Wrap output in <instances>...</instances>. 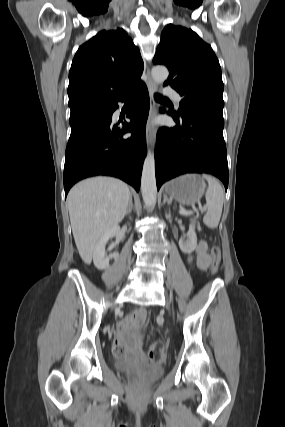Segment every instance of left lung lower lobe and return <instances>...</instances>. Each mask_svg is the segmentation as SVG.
<instances>
[{
	"label": "left lung lower lobe",
	"instance_id": "1",
	"mask_svg": "<svg viewBox=\"0 0 285 427\" xmlns=\"http://www.w3.org/2000/svg\"><path fill=\"white\" fill-rule=\"evenodd\" d=\"M168 114L173 117L176 126L162 127L157 135V188L181 174L209 173L221 179L227 190L228 163L223 115L213 111H197L181 117L171 111Z\"/></svg>",
	"mask_w": 285,
	"mask_h": 427
}]
</instances>
